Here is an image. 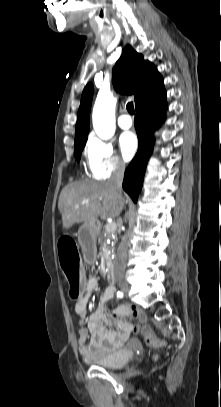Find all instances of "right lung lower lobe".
<instances>
[{
    "mask_svg": "<svg viewBox=\"0 0 221 407\" xmlns=\"http://www.w3.org/2000/svg\"><path fill=\"white\" fill-rule=\"evenodd\" d=\"M166 92L162 88L152 98L136 108L135 128L139 140L137 154L125 170L122 187L137 201L141 191L144 173L154 144L153 132L165 120Z\"/></svg>",
    "mask_w": 221,
    "mask_h": 407,
    "instance_id": "98d812e1",
    "label": "right lung lower lobe"
}]
</instances>
